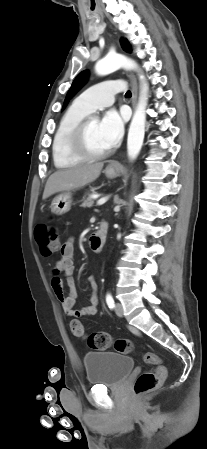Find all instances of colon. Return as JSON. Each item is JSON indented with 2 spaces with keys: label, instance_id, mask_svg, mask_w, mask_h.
I'll list each match as a JSON object with an SVG mask.
<instances>
[{
  "label": "colon",
  "instance_id": "1",
  "mask_svg": "<svg viewBox=\"0 0 207 449\" xmlns=\"http://www.w3.org/2000/svg\"><path fill=\"white\" fill-rule=\"evenodd\" d=\"M35 239L44 256L53 255L59 248L60 239L57 231L46 224H38L34 231ZM72 334L77 338H85V328L79 320H72L70 323ZM87 343L89 347L95 350H107L113 348L120 354H131L134 351L133 343L128 339H113L106 332H94L88 335ZM143 361L147 364L155 366L153 371H145L141 373L135 381L134 391L137 395H144L155 391L160 386L161 380L166 375V367L161 358L152 353L145 352L142 355Z\"/></svg>",
  "mask_w": 207,
  "mask_h": 449
}]
</instances>
